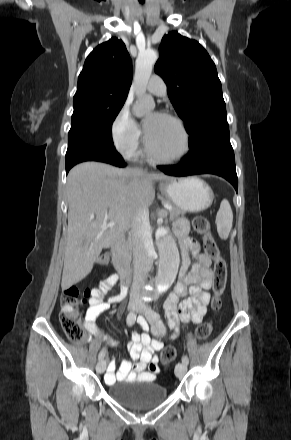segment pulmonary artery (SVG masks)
Segmentation results:
<instances>
[{
    "label": "pulmonary artery",
    "instance_id": "obj_1",
    "mask_svg": "<svg viewBox=\"0 0 291 440\" xmlns=\"http://www.w3.org/2000/svg\"><path fill=\"white\" fill-rule=\"evenodd\" d=\"M146 88L150 93L157 96H163L166 93V83L159 75H153Z\"/></svg>",
    "mask_w": 291,
    "mask_h": 440
}]
</instances>
